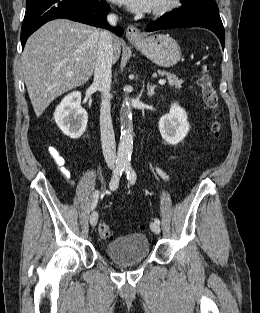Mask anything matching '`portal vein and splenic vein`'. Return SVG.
Segmentation results:
<instances>
[{
    "label": "portal vein and splenic vein",
    "mask_w": 260,
    "mask_h": 313,
    "mask_svg": "<svg viewBox=\"0 0 260 313\" xmlns=\"http://www.w3.org/2000/svg\"><path fill=\"white\" fill-rule=\"evenodd\" d=\"M165 82H166V81H165L164 79H160V80H159V84H160V85L165 84Z\"/></svg>",
    "instance_id": "18ae733b"
}]
</instances>
